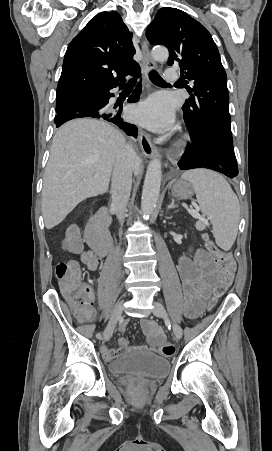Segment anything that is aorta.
Returning a JSON list of instances; mask_svg holds the SVG:
<instances>
[{
  "label": "aorta",
  "instance_id": "obj_1",
  "mask_svg": "<svg viewBox=\"0 0 272 451\" xmlns=\"http://www.w3.org/2000/svg\"><path fill=\"white\" fill-rule=\"evenodd\" d=\"M151 56L157 62H164V60H168L169 52L167 48H153ZM161 176V162L158 160V156H155L149 162L145 176L141 200L143 216H151L156 208L161 186Z\"/></svg>",
  "mask_w": 272,
  "mask_h": 451
}]
</instances>
